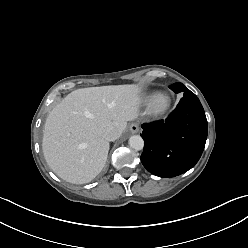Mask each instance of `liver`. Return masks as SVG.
<instances>
[{"label":"liver","mask_w":248,"mask_h":248,"mask_svg":"<svg viewBox=\"0 0 248 248\" xmlns=\"http://www.w3.org/2000/svg\"><path fill=\"white\" fill-rule=\"evenodd\" d=\"M141 87L136 84L77 89L49 113L43 131L45 160L60 178L76 184L94 179L110 148L102 137L114 127L119 137L138 117Z\"/></svg>","instance_id":"1"}]
</instances>
